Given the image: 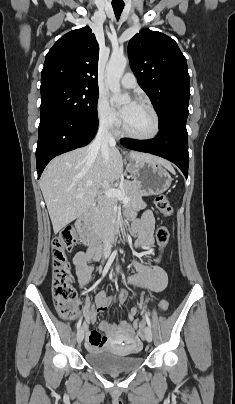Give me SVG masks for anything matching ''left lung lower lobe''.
Wrapping results in <instances>:
<instances>
[{"label": "left lung lower lobe", "mask_w": 235, "mask_h": 404, "mask_svg": "<svg viewBox=\"0 0 235 404\" xmlns=\"http://www.w3.org/2000/svg\"><path fill=\"white\" fill-rule=\"evenodd\" d=\"M121 144L128 149L168 159L181 169L186 178L188 176V134L185 123L176 122L160 128L159 134L152 140L121 139Z\"/></svg>", "instance_id": "left-lung-lower-lobe-1"}]
</instances>
